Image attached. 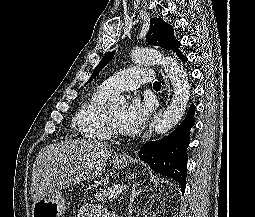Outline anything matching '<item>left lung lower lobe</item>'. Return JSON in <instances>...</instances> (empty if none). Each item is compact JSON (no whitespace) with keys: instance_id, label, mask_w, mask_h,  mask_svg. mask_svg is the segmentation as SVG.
<instances>
[{"instance_id":"left-lung-lower-lobe-1","label":"left lung lower lobe","mask_w":255,"mask_h":217,"mask_svg":"<svg viewBox=\"0 0 255 217\" xmlns=\"http://www.w3.org/2000/svg\"><path fill=\"white\" fill-rule=\"evenodd\" d=\"M177 56L185 63L187 57L178 50ZM195 106L190 109L178 128L159 141L147 142L141 147L139 158L148 163L157 173L168 176L178 182L184 193L186 186L187 160L186 148L190 143V129L194 126Z\"/></svg>"}]
</instances>
